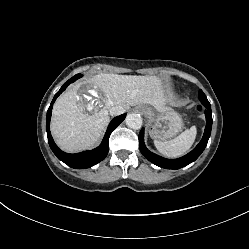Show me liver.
Here are the masks:
<instances>
[{"mask_svg": "<svg viewBox=\"0 0 249 249\" xmlns=\"http://www.w3.org/2000/svg\"><path fill=\"white\" fill-rule=\"evenodd\" d=\"M83 85H90L94 91L100 90L103 96L93 95L86 105L83 104L79 94ZM139 104L152 105L160 112L168 110L164 90L158 78L98 74L75 84L57 99L52 111L51 133L64 151L78 152L88 149L97 143L107 126L110 108L122 106L128 110L130 106Z\"/></svg>", "mask_w": 249, "mask_h": 249, "instance_id": "liver-1", "label": "liver"}]
</instances>
